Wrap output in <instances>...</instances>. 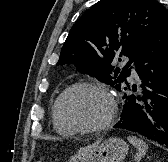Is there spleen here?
Returning <instances> with one entry per match:
<instances>
[{"label": "spleen", "instance_id": "3e777b00", "mask_svg": "<svg viewBox=\"0 0 168 162\" xmlns=\"http://www.w3.org/2000/svg\"><path fill=\"white\" fill-rule=\"evenodd\" d=\"M127 139L134 147L138 149V152L135 155V160L140 162L148 150V145L142 139L136 138L134 136H128Z\"/></svg>", "mask_w": 168, "mask_h": 162}]
</instances>
